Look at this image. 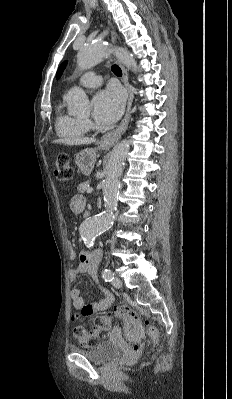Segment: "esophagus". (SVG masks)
Here are the masks:
<instances>
[{
    "label": "esophagus",
    "mask_w": 232,
    "mask_h": 399,
    "mask_svg": "<svg viewBox=\"0 0 232 399\" xmlns=\"http://www.w3.org/2000/svg\"><path fill=\"white\" fill-rule=\"evenodd\" d=\"M111 40L113 43H115L117 41V33L114 29L111 30ZM119 67L122 70V82L124 83L125 87L128 90L127 108H126L125 115H124L120 125L116 129L111 130L110 132H107L106 134H104L101 137L100 147L103 149L112 147V145H114L121 138V135L124 134V132L126 131V129L128 127V123H129V120L131 117V107H132L134 95H133V92L130 87L128 73H127L125 67H123V65H121L120 63H119Z\"/></svg>",
    "instance_id": "34e87169"
}]
</instances>
